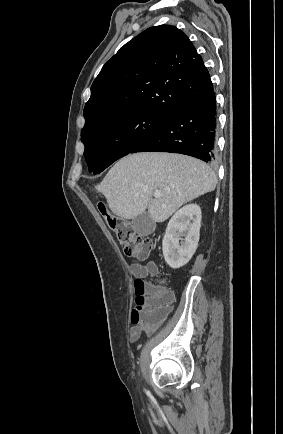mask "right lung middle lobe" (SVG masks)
I'll use <instances>...</instances> for the list:
<instances>
[{"mask_svg":"<svg viewBox=\"0 0 283 434\" xmlns=\"http://www.w3.org/2000/svg\"><path fill=\"white\" fill-rule=\"evenodd\" d=\"M169 115L142 110L120 114L81 131L88 169L102 172L129 154L140 142L169 119Z\"/></svg>","mask_w":283,"mask_h":434,"instance_id":"right-lung-middle-lobe-1","label":"right lung middle lobe"}]
</instances>
